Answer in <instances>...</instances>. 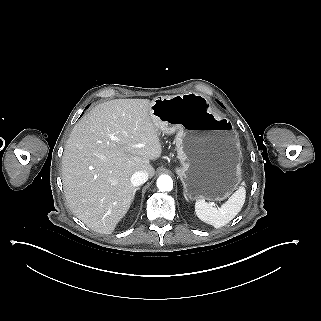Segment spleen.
Returning <instances> with one entry per match:
<instances>
[{
    "label": "spleen",
    "mask_w": 321,
    "mask_h": 321,
    "mask_svg": "<svg viewBox=\"0 0 321 321\" xmlns=\"http://www.w3.org/2000/svg\"><path fill=\"white\" fill-rule=\"evenodd\" d=\"M246 198L245 182L229 197V199L221 205V207H213L210 203L200 199L195 203V212L197 217L215 228L227 225L241 211Z\"/></svg>",
    "instance_id": "3e777b00"
}]
</instances>
